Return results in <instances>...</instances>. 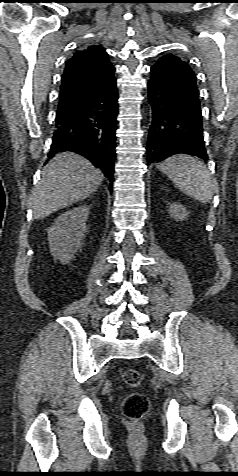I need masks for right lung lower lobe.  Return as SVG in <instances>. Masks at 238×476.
<instances>
[{"instance_id": "obj_1", "label": "right lung lower lobe", "mask_w": 238, "mask_h": 476, "mask_svg": "<svg viewBox=\"0 0 238 476\" xmlns=\"http://www.w3.org/2000/svg\"><path fill=\"white\" fill-rule=\"evenodd\" d=\"M116 79L90 100L56 113V130L49 157L74 151L100 168L113 182L117 130Z\"/></svg>"}]
</instances>
